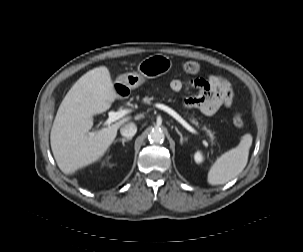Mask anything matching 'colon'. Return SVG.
<instances>
[{"label": "colon", "instance_id": "colon-1", "mask_svg": "<svg viewBox=\"0 0 303 252\" xmlns=\"http://www.w3.org/2000/svg\"><path fill=\"white\" fill-rule=\"evenodd\" d=\"M182 69L184 72H186L188 74H198L201 72L202 67L196 61H185L182 64ZM232 122H233V125L237 129H239V130L243 129L244 125H245V119H244L243 114H241V113L234 114V116L232 118Z\"/></svg>", "mask_w": 303, "mask_h": 252}]
</instances>
